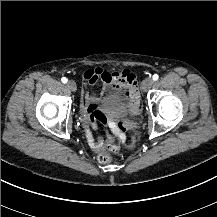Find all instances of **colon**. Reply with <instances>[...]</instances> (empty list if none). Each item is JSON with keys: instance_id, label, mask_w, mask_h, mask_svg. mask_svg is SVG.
<instances>
[{"instance_id": "obj_1", "label": "colon", "mask_w": 217, "mask_h": 217, "mask_svg": "<svg viewBox=\"0 0 217 217\" xmlns=\"http://www.w3.org/2000/svg\"><path fill=\"white\" fill-rule=\"evenodd\" d=\"M121 149H122V146L120 144L111 143L107 147V152L98 154L97 162L98 163H109L111 161V156L108 155V153H117Z\"/></svg>"}]
</instances>
